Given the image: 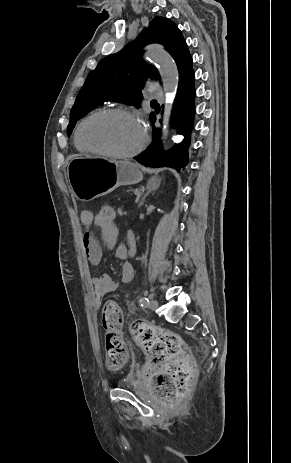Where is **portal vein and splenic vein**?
Returning a JSON list of instances; mask_svg holds the SVG:
<instances>
[{
  "label": "portal vein and splenic vein",
  "instance_id": "obj_1",
  "mask_svg": "<svg viewBox=\"0 0 291 463\" xmlns=\"http://www.w3.org/2000/svg\"><path fill=\"white\" fill-rule=\"evenodd\" d=\"M133 192H134L135 195L139 194V191L137 189H134Z\"/></svg>",
  "mask_w": 291,
  "mask_h": 463
}]
</instances>
